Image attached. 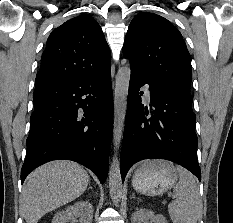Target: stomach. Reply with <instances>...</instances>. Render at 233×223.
Instances as JSON below:
<instances>
[{
	"instance_id": "stomach-1",
	"label": "stomach",
	"mask_w": 233,
	"mask_h": 223,
	"mask_svg": "<svg viewBox=\"0 0 233 223\" xmlns=\"http://www.w3.org/2000/svg\"><path fill=\"white\" fill-rule=\"evenodd\" d=\"M178 179L177 167L171 161L152 159L138 165L132 177V185L143 195H162L173 187Z\"/></svg>"
}]
</instances>
